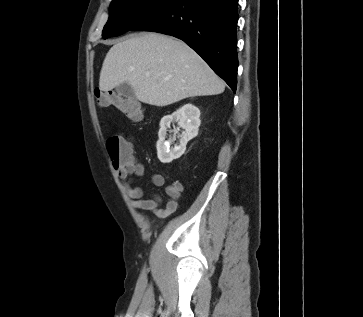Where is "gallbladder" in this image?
<instances>
[{"instance_id": "obj_1", "label": "gallbladder", "mask_w": 363, "mask_h": 317, "mask_svg": "<svg viewBox=\"0 0 363 317\" xmlns=\"http://www.w3.org/2000/svg\"><path fill=\"white\" fill-rule=\"evenodd\" d=\"M116 91L119 95L125 97V98H134L135 92L130 84L128 83H122L116 87Z\"/></svg>"}]
</instances>
